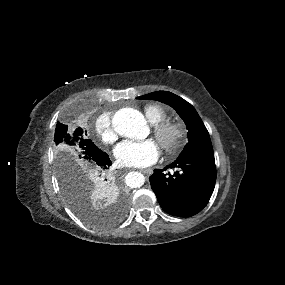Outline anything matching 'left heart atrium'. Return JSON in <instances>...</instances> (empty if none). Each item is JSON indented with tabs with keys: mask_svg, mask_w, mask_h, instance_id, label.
Listing matches in <instances>:
<instances>
[{
	"mask_svg": "<svg viewBox=\"0 0 285 285\" xmlns=\"http://www.w3.org/2000/svg\"><path fill=\"white\" fill-rule=\"evenodd\" d=\"M158 144L152 140H125L114 150L117 161L127 167L142 168L155 163L159 157Z\"/></svg>",
	"mask_w": 285,
	"mask_h": 285,
	"instance_id": "39dd6f15",
	"label": "left heart atrium"
}]
</instances>
